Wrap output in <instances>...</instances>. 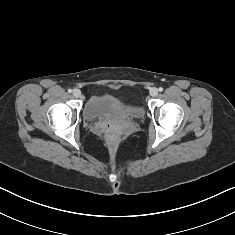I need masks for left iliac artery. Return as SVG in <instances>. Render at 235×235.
Masks as SVG:
<instances>
[{
    "instance_id": "obj_1",
    "label": "left iliac artery",
    "mask_w": 235,
    "mask_h": 235,
    "mask_svg": "<svg viewBox=\"0 0 235 235\" xmlns=\"http://www.w3.org/2000/svg\"><path fill=\"white\" fill-rule=\"evenodd\" d=\"M159 91H160V92H162V91H163V88H162V87H160V88H159Z\"/></svg>"
}]
</instances>
